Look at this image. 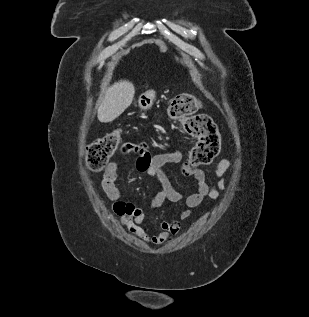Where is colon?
Here are the masks:
<instances>
[{"label": "colon", "instance_id": "1", "mask_svg": "<svg viewBox=\"0 0 309 317\" xmlns=\"http://www.w3.org/2000/svg\"><path fill=\"white\" fill-rule=\"evenodd\" d=\"M201 107L199 99L188 93L177 95L168 107L169 116L182 123L184 129L196 138L188 153L186 164L197 167L210 164L218 155L221 137L216 124L204 114H196ZM120 130H113L90 143L86 149V165L95 172L101 171L117 150ZM128 145L124 147L126 150Z\"/></svg>", "mask_w": 309, "mask_h": 317}]
</instances>
